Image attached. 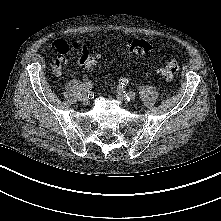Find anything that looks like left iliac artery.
<instances>
[{
	"label": "left iliac artery",
	"instance_id": "1",
	"mask_svg": "<svg viewBox=\"0 0 221 221\" xmlns=\"http://www.w3.org/2000/svg\"><path fill=\"white\" fill-rule=\"evenodd\" d=\"M120 83H121L122 87H125L128 85V79L122 78V79H120Z\"/></svg>",
	"mask_w": 221,
	"mask_h": 221
}]
</instances>
